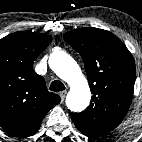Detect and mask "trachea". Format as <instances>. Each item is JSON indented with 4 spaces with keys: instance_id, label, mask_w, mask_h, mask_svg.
Wrapping results in <instances>:
<instances>
[{
    "instance_id": "3493384b",
    "label": "trachea",
    "mask_w": 142,
    "mask_h": 142,
    "mask_svg": "<svg viewBox=\"0 0 142 142\" xmlns=\"http://www.w3.org/2000/svg\"><path fill=\"white\" fill-rule=\"evenodd\" d=\"M64 89H65L64 84L59 80L53 81L50 85V90L54 92H60L63 91Z\"/></svg>"
}]
</instances>
